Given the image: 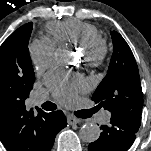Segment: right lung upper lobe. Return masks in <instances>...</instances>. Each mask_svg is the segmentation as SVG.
Instances as JSON below:
<instances>
[{
	"label": "right lung upper lobe",
	"instance_id": "right-lung-upper-lobe-1",
	"mask_svg": "<svg viewBox=\"0 0 151 151\" xmlns=\"http://www.w3.org/2000/svg\"><path fill=\"white\" fill-rule=\"evenodd\" d=\"M28 97L0 94V140L7 151H45L48 146L47 113L27 109Z\"/></svg>",
	"mask_w": 151,
	"mask_h": 151
}]
</instances>
